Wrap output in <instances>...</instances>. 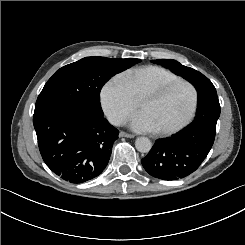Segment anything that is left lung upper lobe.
I'll return each instance as SVG.
<instances>
[{
    "instance_id": "obj_1",
    "label": "left lung upper lobe",
    "mask_w": 245,
    "mask_h": 245,
    "mask_svg": "<svg viewBox=\"0 0 245 245\" xmlns=\"http://www.w3.org/2000/svg\"><path fill=\"white\" fill-rule=\"evenodd\" d=\"M152 62L162 65L163 67L170 69L175 74L182 76L190 83H192L195 86V88L196 86L202 84L205 81H210L207 77H205L200 72L192 68L183 66L178 61L172 59L152 60Z\"/></svg>"
}]
</instances>
